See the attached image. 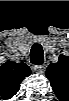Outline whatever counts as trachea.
<instances>
[{
    "label": "trachea",
    "instance_id": "obj_1",
    "mask_svg": "<svg viewBox=\"0 0 69 101\" xmlns=\"http://www.w3.org/2000/svg\"><path fill=\"white\" fill-rule=\"evenodd\" d=\"M30 62L34 65H42L44 63L43 48L38 43H35L31 48Z\"/></svg>",
    "mask_w": 69,
    "mask_h": 101
}]
</instances>
